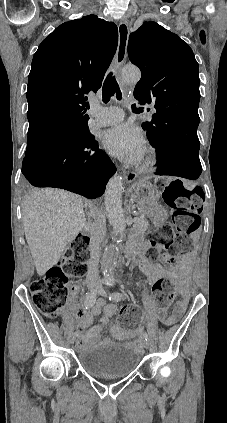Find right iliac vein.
<instances>
[{"label": "right iliac vein", "mask_w": 227, "mask_h": 423, "mask_svg": "<svg viewBox=\"0 0 227 423\" xmlns=\"http://www.w3.org/2000/svg\"><path fill=\"white\" fill-rule=\"evenodd\" d=\"M90 291L91 292H93V293H96L97 294V289L96 288H91L90 289ZM70 342L73 344L74 342H75V336L73 335V336H71V338H70Z\"/></svg>", "instance_id": "right-iliac-vein-1"}]
</instances>
